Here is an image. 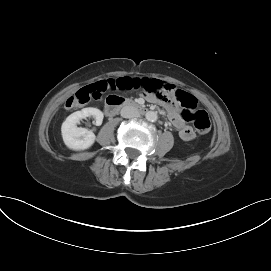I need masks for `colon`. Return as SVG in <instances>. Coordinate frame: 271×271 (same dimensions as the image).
I'll return each mask as SVG.
<instances>
[{"instance_id": "1", "label": "colon", "mask_w": 271, "mask_h": 271, "mask_svg": "<svg viewBox=\"0 0 271 271\" xmlns=\"http://www.w3.org/2000/svg\"><path fill=\"white\" fill-rule=\"evenodd\" d=\"M109 87L119 91H130L132 89H138V79L120 78L111 82ZM106 89H100L95 85L81 88L74 95L67 99L65 107L67 109H75L81 107L88 103L91 98L99 97V95ZM175 100L183 107L181 112L182 118L187 121H192L195 129L199 134H207L210 131L211 121L209 115L206 111L196 108L197 100L193 95L184 91H176Z\"/></svg>"}]
</instances>
